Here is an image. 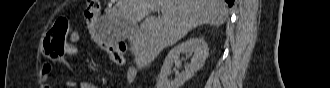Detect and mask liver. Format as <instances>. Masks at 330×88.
Returning <instances> with one entry per match:
<instances>
[{
	"label": "liver",
	"instance_id": "obj_1",
	"mask_svg": "<svg viewBox=\"0 0 330 88\" xmlns=\"http://www.w3.org/2000/svg\"><path fill=\"white\" fill-rule=\"evenodd\" d=\"M158 6H161L162 16H151ZM227 15L224 0H118L107 20L141 21L129 41L136 65L142 69L193 28L203 24L220 26Z\"/></svg>",
	"mask_w": 330,
	"mask_h": 88
}]
</instances>
